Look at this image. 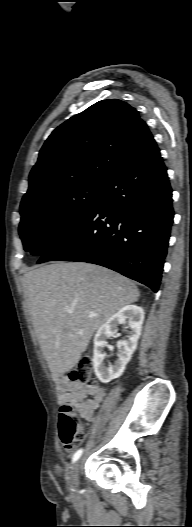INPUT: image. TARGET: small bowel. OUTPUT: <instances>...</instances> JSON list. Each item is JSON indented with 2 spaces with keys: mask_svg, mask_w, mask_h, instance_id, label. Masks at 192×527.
<instances>
[{
  "mask_svg": "<svg viewBox=\"0 0 192 527\" xmlns=\"http://www.w3.org/2000/svg\"><path fill=\"white\" fill-rule=\"evenodd\" d=\"M58 384L62 391L61 401L71 403L82 418L91 421L93 412L99 408L106 396L105 389L97 385L85 387L72 382L66 375L59 376Z\"/></svg>",
  "mask_w": 192,
  "mask_h": 527,
  "instance_id": "1",
  "label": "small bowel"
}]
</instances>
